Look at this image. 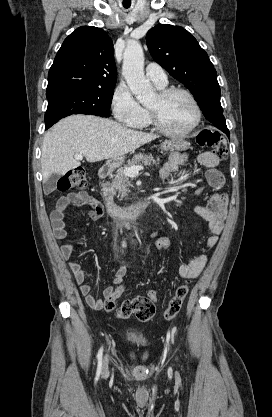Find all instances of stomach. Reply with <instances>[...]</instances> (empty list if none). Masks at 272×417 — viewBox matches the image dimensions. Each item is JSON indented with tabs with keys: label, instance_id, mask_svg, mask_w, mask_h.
Here are the masks:
<instances>
[{
	"label": "stomach",
	"instance_id": "obj_1",
	"mask_svg": "<svg viewBox=\"0 0 272 417\" xmlns=\"http://www.w3.org/2000/svg\"><path fill=\"white\" fill-rule=\"evenodd\" d=\"M188 148V143L181 139H171L166 140L162 143L161 149L168 153L173 150H185ZM124 162V157H118L116 159H112L110 163L114 166H120Z\"/></svg>",
	"mask_w": 272,
	"mask_h": 417
}]
</instances>
